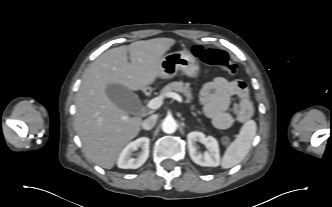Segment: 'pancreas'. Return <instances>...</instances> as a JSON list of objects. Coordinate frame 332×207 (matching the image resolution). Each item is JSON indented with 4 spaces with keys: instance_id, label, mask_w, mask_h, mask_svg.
<instances>
[{
    "instance_id": "obj_1",
    "label": "pancreas",
    "mask_w": 332,
    "mask_h": 207,
    "mask_svg": "<svg viewBox=\"0 0 332 207\" xmlns=\"http://www.w3.org/2000/svg\"><path fill=\"white\" fill-rule=\"evenodd\" d=\"M171 92H179L182 93L186 97V102L191 103L193 100V95H192V89L190 88L189 83H183V82H172L167 84L163 89H162V94L167 95L168 93ZM191 109L194 110L195 106L192 105ZM193 115L196 116V113L193 112ZM198 122H201V119H197Z\"/></svg>"
}]
</instances>
